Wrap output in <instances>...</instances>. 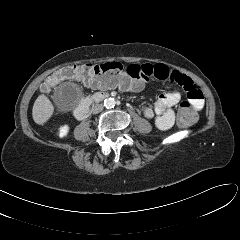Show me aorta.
<instances>
[{
	"label": "aorta",
	"mask_w": 240,
	"mask_h": 240,
	"mask_svg": "<svg viewBox=\"0 0 240 240\" xmlns=\"http://www.w3.org/2000/svg\"><path fill=\"white\" fill-rule=\"evenodd\" d=\"M104 106L106 108H113L115 106V100L114 98H106L104 100Z\"/></svg>",
	"instance_id": "obj_1"
}]
</instances>
